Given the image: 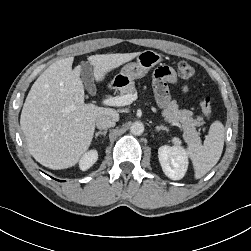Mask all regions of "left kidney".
<instances>
[{"label": "left kidney", "mask_w": 251, "mask_h": 251, "mask_svg": "<svg viewBox=\"0 0 251 251\" xmlns=\"http://www.w3.org/2000/svg\"><path fill=\"white\" fill-rule=\"evenodd\" d=\"M158 158L164 174L172 180L184 177L188 168V153L181 146H161L158 149Z\"/></svg>", "instance_id": "1"}]
</instances>
